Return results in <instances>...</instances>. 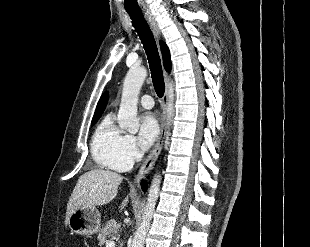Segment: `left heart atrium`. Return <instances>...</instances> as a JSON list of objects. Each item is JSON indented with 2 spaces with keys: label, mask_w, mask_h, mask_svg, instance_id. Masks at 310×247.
Here are the masks:
<instances>
[{
  "label": "left heart atrium",
  "mask_w": 310,
  "mask_h": 247,
  "mask_svg": "<svg viewBox=\"0 0 310 247\" xmlns=\"http://www.w3.org/2000/svg\"><path fill=\"white\" fill-rule=\"evenodd\" d=\"M159 135V125L155 116L147 113L141 116L139 124V143L143 149H148Z\"/></svg>",
  "instance_id": "left-heart-atrium-1"
}]
</instances>
